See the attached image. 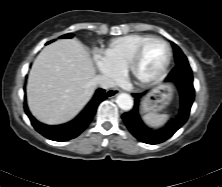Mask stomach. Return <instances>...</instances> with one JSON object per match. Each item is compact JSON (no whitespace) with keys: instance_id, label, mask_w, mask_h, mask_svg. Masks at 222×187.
<instances>
[{"instance_id":"obj_1","label":"stomach","mask_w":222,"mask_h":187,"mask_svg":"<svg viewBox=\"0 0 222 187\" xmlns=\"http://www.w3.org/2000/svg\"><path fill=\"white\" fill-rule=\"evenodd\" d=\"M173 92L172 86H160L154 89L143 99V111L156 114L164 111L170 105Z\"/></svg>"}]
</instances>
